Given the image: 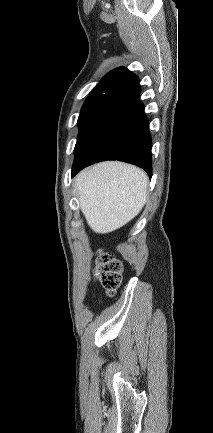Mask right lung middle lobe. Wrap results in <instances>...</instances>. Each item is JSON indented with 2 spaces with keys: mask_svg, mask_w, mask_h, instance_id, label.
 Segmentation results:
<instances>
[{
  "mask_svg": "<svg viewBox=\"0 0 213 433\" xmlns=\"http://www.w3.org/2000/svg\"><path fill=\"white\" fill-rule=\"evenodd\" d=\"M116 96L102 95L92 98H87L78 118L79 134L78 138L86 130L90 122L96 115L104 109Z\"/></svg>",
  "mask_w": 213,
  "mask_h": 433,
  "instance_id": "right-lung-middle-lobe-1",
  "label": "right lung middle lobe"
}]
</instances>
